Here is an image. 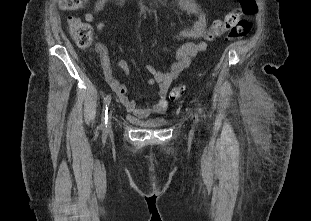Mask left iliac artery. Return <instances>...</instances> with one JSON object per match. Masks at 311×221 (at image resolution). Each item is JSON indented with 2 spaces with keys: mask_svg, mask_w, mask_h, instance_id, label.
<instances>
[{
  "mask_svg": "<svg viewBox=\"0 0 311 221\" xmlns=\"http://www.w3.org/2000/svg\"><path fill=\"white\" fill-rule=\"evenodd\" d=\"M196 119H197V121H198V116H196Z\"/></svg>",
  "mask_w": 311,
  "mask_h": 221,
  "instance_id": "obj_1",
  "label": "left iliac artery"
}]
</instances>
